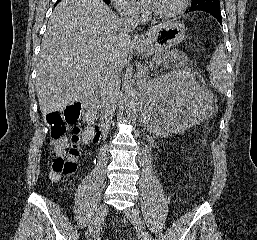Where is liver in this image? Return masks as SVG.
Returning <instances> with one entry per match:
<instances>
[{
	"instance_id": "6515ba94",
	"label": "liver",
	"mask_w": 257,
	"mask_h": 240,
	"mask_svg": "<svg viewBox=\"0 0 257 240\" xmlns=\"http://www.w3.org/2000/svg\"><path fill=\"white\" fill-rule=\"evenodd\" d=\"M118 21L102 0H62L55 7L37 64L36 92L43 115L62 112L91 95L110 75L121 74L132 46L129 35L120 36Z\"/></svg>"
}]
</instances>
